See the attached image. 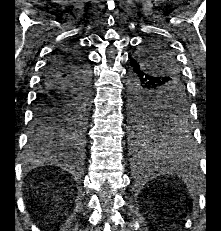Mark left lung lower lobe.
<instances>
[{"label": "left lung lower lobe", "instance_id": "obj_1", "mask_svg": "<svg viewBox=\"0 0 221 231\" xmlns=\"http://www.w3.org/2000/svg\"><path fill=\"white\" fill-rule=\"evenodd\" d=\"M160 86L161 79L159 77L150 74L144 64L137 59L131 58L129 118L130 115L136 116L147 108V96L155 92L158 93L161 90ZM177 125L181 128V133L176 138H171V135L159 134L156 137H148L143 141H139L134 136L135 144L142 150H151L152 162H162L161 156L165 154L173 160L172 164L175 168H182L184 158L190 156L193 152V143L187 124L180 123Z\"/></svg>", "mask_w": 221, "mask_h": 231}]
</instances>
